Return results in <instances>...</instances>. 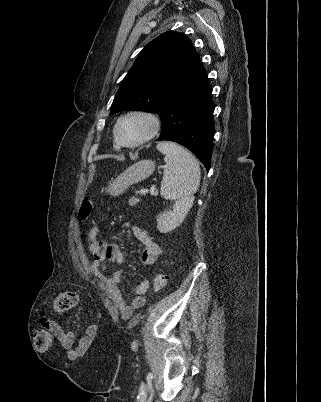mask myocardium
Here are the masks:
<instances>
[{
	"mask_svg": "<svg viewBox=\"0 0 321 402\" xmlns=\"http://www.w3.org/2000/svg\"><path fill=\"white\" fill-rule=\"evenodd\" d=\"M132 117H141L145 119L149 124V129L147 133L136 142L124 143L119 137V127L123 121ZM160 128H161V120L155 113L142 109H134L124 113L117 119L114 125L113 134L115 142L118 145V147L134 149L143 146L144 144L152 140L159 133Z\"/></svg>",
	"mask_w": 321,
	"mask_h": 402,
	"instance_id": "1",
	"label": "myocardium"
}]
</instances>
